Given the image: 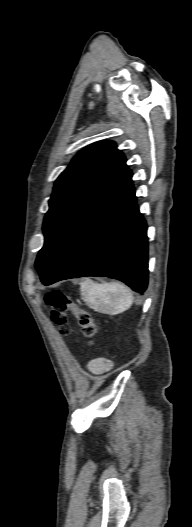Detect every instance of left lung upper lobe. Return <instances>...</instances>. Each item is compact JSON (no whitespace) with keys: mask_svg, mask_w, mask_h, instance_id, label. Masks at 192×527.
<instances>
[{"mask_svg":"<svg viewBox=\"0 0 192 527\" xmlns=\"http://www.w3.org/2000/svg\"><path fill=\"white\" fill-rule=\"evenodd\" d=\"M125 156L112 141L95 142L82 149L55 182L44 218L45 243L35 267L40 278L93 210L129 172Z\"/></svg>","mask_w":192,"mask_h":527,"instance_id":"obj_1","label":"left lung upper lobe"}]
</instances>
